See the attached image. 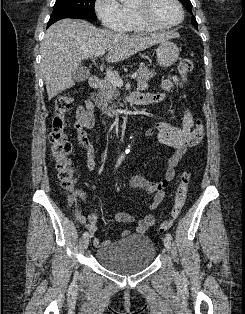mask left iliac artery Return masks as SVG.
Here are the masks:
<instances>
[{
    "label": "left iliac artery",
    "mask_w": 245,
    "mask_h": 314,
    "mask_svg": "<svg viewBox=\"0 0 245 314\" xmlns=\"http://www.w3.org/2000/svg\"><path fill=\"white\" fill-rule=\"evenodd\" d=\"M166 237H167L168 239L172 240V235H171L170 233H167V234H166Z\"/></svg>",
    "instance_id": "44dca946"
}]
</instances>
